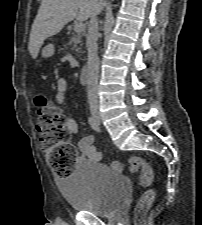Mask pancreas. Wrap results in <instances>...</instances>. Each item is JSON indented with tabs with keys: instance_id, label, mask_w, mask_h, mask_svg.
<instances>
[{
	"instance_id": "1",
	"label": "pancreas",
	"mask_w": 202,
	"mask_h": 225,
	"mask_svg": "<svg viewBox=\"0 0 202 225\" xmlns=\"http://www.w3.org/2000/svg\"><path fill=\"white\" fill-rule=\"evenodd\" d=\"M81 38L82 36L79 34L73 35L72 37L69 38L67 45L70 46L71 50L80 52L81 48L78 47V45H81Z\"/></svg>"
}]
</instances>
